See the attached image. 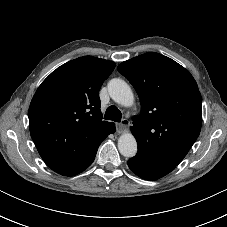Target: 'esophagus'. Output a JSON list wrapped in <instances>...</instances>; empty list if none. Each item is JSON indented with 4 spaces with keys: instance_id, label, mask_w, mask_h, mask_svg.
Instances as JSON below:
<instances>
[{
    "instance_id": "esophagus-1",
    "label": "esophagus",
    "mask_w": 227,
    "mask_h": 227,
    "mask_svg": "<svg viewBox=\"0 0 227 227\" xmlns=\"http://www.w3.org/2000/svg\"><path fill=\"white\" fill-rule=\"evenodd\" d=\"M130 122L128 119H123L120 123L116 124V130L118 133H124L128 130Z\"/></svg>"
}]
</instances>
